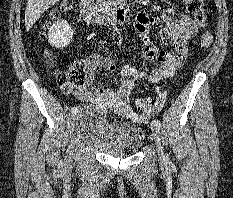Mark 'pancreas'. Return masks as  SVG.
I'll return each mask as SVG.
<instances>
[{
    "mask_svg": "<svg viewBox=\"0 0 233 198\" xmlns=\"http://www.w3.org/2000/svg\"><path fill=\"white\" fill-rule=\"evenodd\" d=\"M100 5L105 7L115 6L116 4L121 3L123 0H97Z\"/></svg>",
    "mask_w": 233,
    "mask_h": 198,
    "instance_id": "cf45deb5",
    "label": "pancreas"
}]
</instances>
